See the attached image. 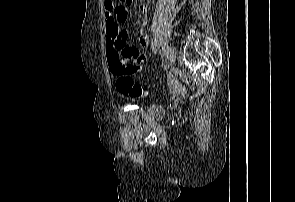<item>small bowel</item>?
Instances as JSON below:
<instances>
[{
    "label": "small bowel",
    "instance_id": "1",
    "mask_svg": "<svg viewBox=\"0 0 295 202\" xmlns=\"http://www.w3.org/2000/svg\"><path fill=\"white\" fill-rule=\"evenodd\" d=\"M104 8L106 52L110 69L112 70L116 63H126L130 65L132 73L142 70L146 56L141 52V49L149 44L146 20L149 11L148 5L146 3L139 5V10L145 19L137 30V47L127 45V35L121 30V24L125 23L128 18L126 7L116 4L114 0H105Z\"/></svg>",
    "mask_w": 295,
    "mask_h": 202
}]
</instances>
